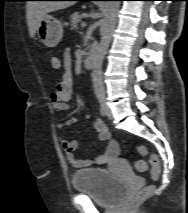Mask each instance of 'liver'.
Here are the masks:
<instances>
[{
  "instance_id": "liver-1",
  "label": "liver",
  "mask_w": 188,
  "mask_h": 213,
  "mask_svg": "<svg viewBox=\"0 0 188 213\" xmlns=\"http://www.w3.org/2000/svg\"><path fill=\"white\" fill-rule=\"evenodd\" d=\"M72 1H29L26 5L29 35L34 38L39 22L50 12L72 6Z\"/></svg>"
}]
</instances>
